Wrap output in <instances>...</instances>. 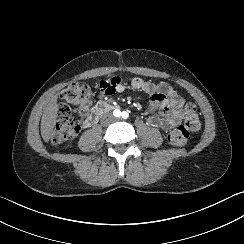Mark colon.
Returning <instances> with one entry per match:
<instances>
[{
	"label": "colon",
	"instance_id": "colon-1",
	"mask_svg": "<svg viewBox=\"0 0 244 244\" xmlns=\"http://www.w3.org/2000/svg\"><path fill=\"white\" fill-rule=\"evenodd\" d=\"M91 95V86L84 81H73L61 92L57 127L52 136L54 144H61L75 137L78 124L71 106L77 105L83 113L87 112L91 105ZM183 117L184 122L169 133V141L177 146L186 145L190 134L199 127L198 110L193 103L185 105Z\"/></svg>",
	"mask_w": 244,
	"mask_h": 244
}]
</instances>
